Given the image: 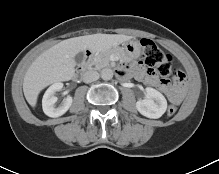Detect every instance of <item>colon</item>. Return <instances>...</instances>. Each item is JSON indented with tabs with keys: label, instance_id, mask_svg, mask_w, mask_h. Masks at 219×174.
<instances>
[{
	"label": "colon",
	"instance_id": "5ec220e1",
	"mask_svg": "<svg viewBox=\"0 0 219 174\" xmlns=\"http://www.w3.org/2000/svg\"><path fill=\"white\" fill-rule=\"evenodd\" d=\"M143 59L146 66L152 68L159 76L167 78L173 76L175 80L185 82L184 73L172 66L171 57L165 54L152 40L142 39ZM177 108L170 105L167 109V115H175Z\"/></svg>",
	"mask_w": 219,
	"mask_h": 174
}]
</instances>
